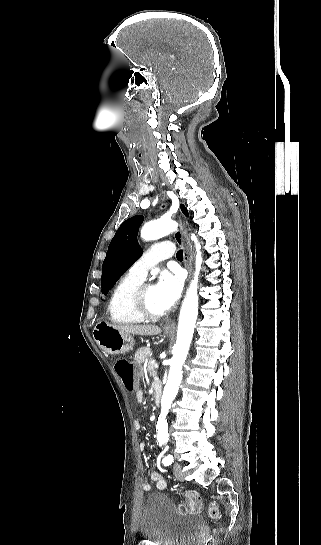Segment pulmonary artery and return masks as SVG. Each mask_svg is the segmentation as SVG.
Wrapping results in <instances>:
<instances>
[{"instance_id":"e3ab8cb5","label":"pulmonary artery","mask_w":321,"mask_h":545,"mask_svg":"<svg viewBox=\"0 0 321 545\" xmlns=\"http://www.w3.org/2000/svg\"><path fill=\"white\" fill-rule=\"evenodd\" d=\"M172 248V245L168 241H157L155 243V250H150L148 256L144 253L135 263H133L128 273L140 280L146 278L148 270L159 263L160 261H166L171 258V253L168 252Z\"/></svg>"}]
</instances>
